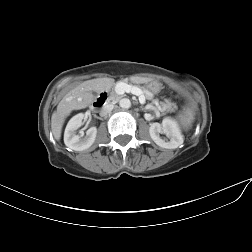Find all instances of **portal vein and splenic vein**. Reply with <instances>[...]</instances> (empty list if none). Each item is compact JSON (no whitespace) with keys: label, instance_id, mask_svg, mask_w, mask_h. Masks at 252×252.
<instances>
[{"label":"portal vein and splenic vein","instance_id":"portal-vein-and-splenic-vein-1","mask_svg":"<svg viewBox=\"0 0 252 252\" xmlns=\"http://www.w3.org/2000/svg\"><path fill=\"white\" fill-rule=\"evenodd\" d=\"M116 89H117V91L119 93L127 92V93H132L134 95H137V96H139V102L140 103H144L145 102V97H144L141 89H139L138 87L130 86V85L125 84V83H119L116 86Z\"/></svg>","mask_w":252,"mask_h":252}]
</instances>
